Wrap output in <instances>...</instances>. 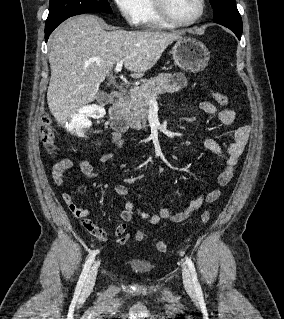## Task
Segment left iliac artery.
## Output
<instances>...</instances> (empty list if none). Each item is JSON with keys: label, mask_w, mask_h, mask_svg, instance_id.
Here are the masks:
<instances>
[{"label": "left iliac artery", "mask_w": 284, "mask_h": 319, "mask_svg": "<svg viewBox=\"0 0 284 319\" xmlns=\"http://www.w3.org/2000/svg\"><path fill=\"white\" fill-rule=\"evenodd\" d=\"M186 264L191 272L192 280H193L194 288H195L196 292L199 294L202 293L201 286H200L198 279H197V273L195 270V266L189 257H186Z\"/></svg>", "instance_id": "obj_1"}]
</instances>
